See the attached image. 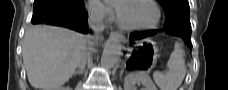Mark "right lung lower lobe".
Here are the masks:
<instances>
[{
  "label": "right lung lower lobe",
  "mask_w": 228,
  "mask_h": 90,
  "mask_svg": "<svg viewBox=\"0 0 228 90\" xmlns=\"http://www.w3.org/2000/svg\"><path fill=\"white\" fill-rule=\"evenodd\" d=\"M84 0H35L33 24L62 26L88 33Z\"/></svg>",
  "instance_id": "98d812e1"
}]
</instances>
